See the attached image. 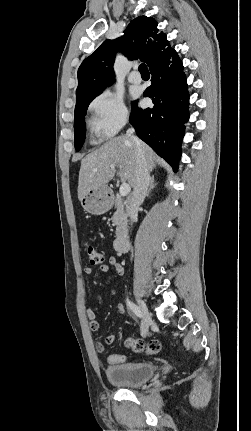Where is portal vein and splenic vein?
Here are the masks:
<instances>
[{
    "label": "portal vein and splenic vein",
    "mask_w": 251,
    "mask_h": 431,
    "mask_svg": "<svg viewBox=\"0 0 251 431\" xmlns=\"http://www.w3.org/2000/svg\"><path fill=\"white\" fill-rule=\"evenodd\" d=\"M111 168H114V166L112 165ZM93 171L97 172V169H94ZM130 190L131 188L128 183H122L119 189V193L121 196H127L130 193Z\"/></svg>",
    "instance_id": "portal-vein-and-splenic-vein-1"
}]
</instances>
